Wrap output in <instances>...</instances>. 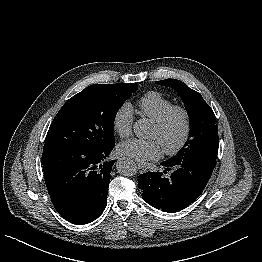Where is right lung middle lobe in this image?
Returning <instances> with one entry per match:
<instances>
[{"instance_id": "dd1d6c3e", "label": "right lung middle lobe", "mask_w": 262, "mask_h": 262, "mask_svg": "<svg viewBox=\"0 0 262 262\" xmlns=\"http://www.w3.org/2000/svg\"><path fill=\"white\" fill-rule=\"evenodd\" d=\"M135 83L94 84L70 98L52 121L44 146L106 148L115 144L114 119Z\"/></svg>"}]
</instances>
